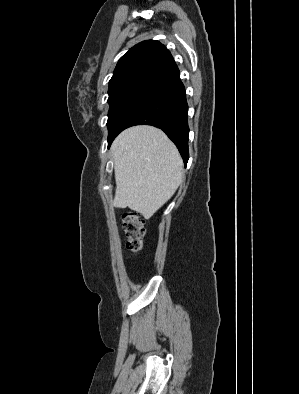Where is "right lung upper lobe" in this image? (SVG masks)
<instances>
[{
	"mask_svg": "<svg viewBox=\"0 0 299 394\" xmlns=\"http://www.w3.org/2000/svg\"><path fill=\"white\" fill-rule=\"evenodd\" d=\"M178 69L171 53L159 41H143L118 61L109 81V90L125 85L151 87Z\"/></svg>",
	"mask_w": 299,
	"mask_h": 394,
	"instance_id": "cb5924a9",
	"label": "right lung upper lobe"
}]
</instances>
